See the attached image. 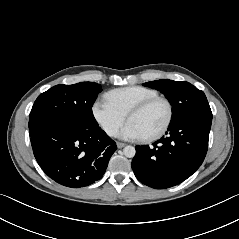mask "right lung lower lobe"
Returning <instances> with one entry per match:
<instances>
[{
    "instance_id": "right-lung-lower-lobe-1",
    "label": "right lung lower lobe",
    "mask_w": 239,
    "mask_h": 239,
    "mask_svg": "<svg viewBox=\"0 0 239 239\" xmlns=\"http://www.w3.org/2000/svg\"><path fill=\"white\" fill-rule=\"evenodd\" d=\"M30 137L42 170L57 183L71 188L101 179L117 149L98 125L83 129L46 127Z\"/></svg>"
}]
</instances>
